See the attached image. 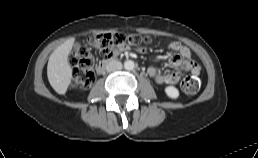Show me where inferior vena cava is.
Segmentation results:
<instances>
[{"label": "inferior vena cava", "instance_id": "obj_1", "mask_svg": "<svg viewBox=\"0 0 258 158\" xmlns=\"http://www.w3.org/2000/svg\"><path fill=\"white\" fill-rule=\"evenodd\" d=\"M120 69H122V64H121V62H119L117 60H112V61L108 62L106 65L107 72H114V71H117Z\"/></svg>", "mask_w": 258, "mask_h": 158}]
</instances>
